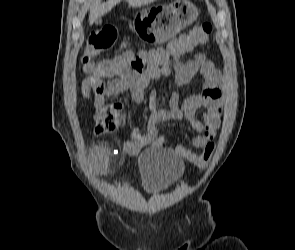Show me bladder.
I'll return each instance as SVG.
<instances>
[{
  "mask_svg": "<svg viewBox=\"0 0 295 250\" xmlns=\"http://www.w3.org/2000/svg\"><path fill=\"white\" fill-rule=\"evenodd\" d=\"M143 185L150 194H160L174 185L184 173L182 158L172 151L149 149L139 157Z\"/></svg>",
  "mask_w": 295,
  "mask_h": 250,
  "instance_id": "1",
  "label": "bladder"
}]
</instances>
